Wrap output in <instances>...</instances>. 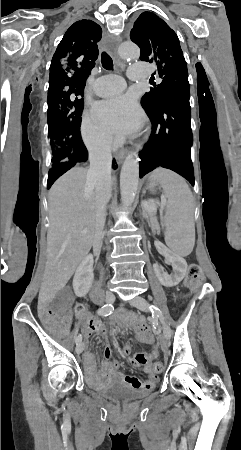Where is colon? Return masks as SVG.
<instances>
[{
	"mask_svg": "<svg viewBox=\"0 0 241 450\" xmlns=\"http://www.w3.org/2000/svg\"><path fill=\"white\" fill-rule=\"evenodd\" d=\"M202 276L201 268L196 263H191L188 267L187 274L185 277V286L192 289L194 287L199 288L201 286V283L198 281ZM198 290V289H197ZM84 311V303L82 301H79L77 305L75 306V309L73 310V313L75 315H78L79 313H82ZM163 366L161 364H157L155 366V370L157 372L162 371Z\"/></svg>",
	"mask_w": 241,
	"mask_h": 450,
	"instance_id": "5ec220e1",
	"label": "colon"
}]
</instances>
